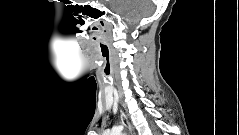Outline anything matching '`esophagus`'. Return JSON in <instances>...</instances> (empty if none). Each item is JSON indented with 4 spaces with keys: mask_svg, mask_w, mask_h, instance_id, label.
I'll use <instances>...</instances> for the list:
<instances>
[{
    "mask_svg": "<svg viewBox=\"0 0 239 135\" xmlns=\"http://www.w3.org/2000/svg\"><path fill=\"white\" fill-rule=\"evenodd\" d=\"M120 118L123 125L127 128L129 134L134 135L135 134L134 128L130 124L127 115L122 110L120 111Z\"/></svg>",
    "mask_w": 239,
    "mask_h": 135,
    "instance_id": "34e87169",
    "label": "esophagus"
}]
</instances>
